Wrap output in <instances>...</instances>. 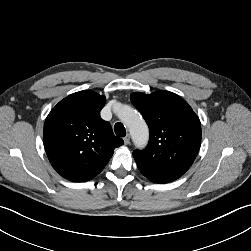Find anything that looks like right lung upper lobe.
<instances>
[{
    "label": "right lung upper lobe",
    "mask_w": 251,
    "mask_h": 251,
    "mask_svg": "<svg viewBox=\"0 0 251 251\" xmlns=\"http://www.w3.org/2000/svg\"><path fill=\"white\" fill-rule=\"evenodd\" d=\"M105 96L91 90L61 100L44 124V147L53 168L64 178L85 182L99 174L123 140L113 134L100 111Z\"/></svg>",
    "instance_id": "cb5924a9"
}]
</instances>
